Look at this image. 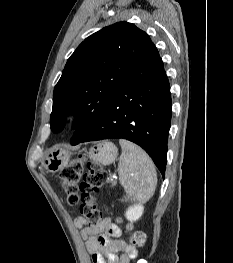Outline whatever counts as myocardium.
Listing matches in <instances>:
<instances>
[{
    "label": "myocardium",
    "instance_id": "f54148a6",
    "mask_svg": "<svg viewBox=\"0 0 233 263\" xmlns=\"http://www.w3.org/2000/svg\"><path fill=\"white\" fill-rule=\"evenodd\" d=\"M76 119H77V116L75 113H68L64 117V122L67 125H71L76 121Z\"/></svg>",
    "mask_w": 233,
    "mask_h": 263
}]
</instances>
